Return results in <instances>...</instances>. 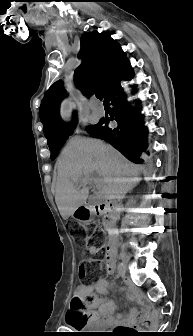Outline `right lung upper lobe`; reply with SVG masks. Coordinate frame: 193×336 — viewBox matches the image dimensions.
Listing matches in <instances>:
<instances>
[{
    "mask_svg": "<svg viewBox=\"0 0 193 336\" xmlns=\"http://www.w3.org/2000/svg\"><path fill=\"white\" fill-rule=\"evenodd\" d=\"M82 64L75 69L76 86L89 97L96 91L106 95L111 85L128 64L119 44L106 33L87 32L80 38ZM65 96L61 81L46 92L39 110L43 131L48 141L74 126L59 117V104Z\"/></svg>",
    "mask_w": 193,
    "mask_h": 336,
    "instance_id": "obj_1",
    "label": "right lung upper lobe"
}]
</instances>
